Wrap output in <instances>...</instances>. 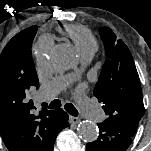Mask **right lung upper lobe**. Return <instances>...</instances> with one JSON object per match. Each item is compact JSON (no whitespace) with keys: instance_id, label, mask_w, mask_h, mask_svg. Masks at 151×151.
Wrapping results in <instances>:
<instances>
[{"instance_id":"1","label":"right lung upper lobe","mask_w":151,"mask_h":151,"mask_svg":"<svg viewBox=\"0 0 151 151\" xmlns=\"http://www.w3.org/2000/svg\"><path fill=\"white\" fill-rule=\"evenodd\" d=\"M38 84L36 71L21 83L0 74V133L9 151L52 150L54 136L49 127L54 111L42 108L34 114L33 101L26 99L27 90Z\"/></svg>"}]
</instances>
